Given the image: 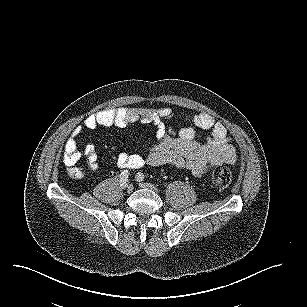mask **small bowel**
<instances>
[{
    "mask_svg": "<svg viewBox=\"0 0 307 307\" xmlns=\"http://www.w3.org/2000/svg\"><path fill=\"white\" fill-rule=\"evenodd\" d=\"M172 116L173 111L169 107L118 108L91 114L84 120L83 125L91 130L112 126L123 128L130 123L141 121L156 127L157 143L148 148L145 155L122 152L117 156L116 164L121 169H138L145 164L167 165L176 169L189 170L195 176L201 177L214 166L236 162V149L222 122L216 121L213 116L205 112L189 116L188 120L195 127L211 131L210 135L201 141L193 127H184L179 130L166 127L165 121ZM81 132V129L76 128L65 143L63 162L67 166L74 165L81 157L77 147V138ZM84 155L89 169L97 173L99 164L95 146L88 144Z\"/></svg>",
    "mask_w": 307,
    "mask_h": 307,
    "instance_id": "small-bowel-1",
    "label": "small bowel"
}]
</instances>
